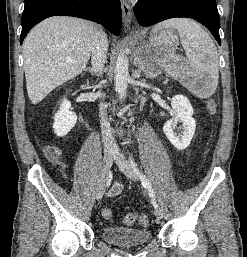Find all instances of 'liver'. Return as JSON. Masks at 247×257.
I'll use <instances>...</instances> for the list:
<instances>
[{
	"instance_id": "6515ba94",
	"label": "liver",
	"mask_w": 247,
	"mask_h": 257,
	"mask_svg": "<svg viewBox=\"0 0 247 257\" xmlns=\"http://www.w3.org/2000/svg\"><path fill=\"white\" fill-rule=\"evenodd\" d=\"M97 25L75 17L53 16L36 25L23 43L29 99L41 102L86 67Z\"/></svg>"
}]
</instances>
